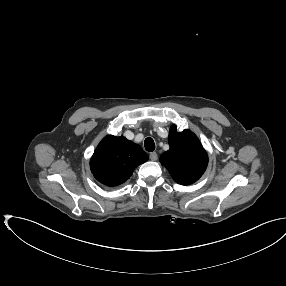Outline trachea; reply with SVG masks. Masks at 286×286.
Here are the masks:
<instances>
[{
  "label": "trachea",
  "mask_w": 286,
  "mask_h": 286,
  "mask_svg": "<svg viewBox=\"0 0 286 286\" xmlns=\"http://www.w3.org/2000/svg\"><path fill=\"white\" fill-rule=\"evenodd\" d=\"M144 146H145V149L148 151V152H152L155 150V143H154V140L150 137L146 138L145 141H144Z\"/></svg>",
  "instance_id": "trachea-1"
}]
</instances>
